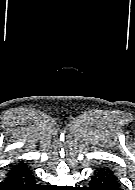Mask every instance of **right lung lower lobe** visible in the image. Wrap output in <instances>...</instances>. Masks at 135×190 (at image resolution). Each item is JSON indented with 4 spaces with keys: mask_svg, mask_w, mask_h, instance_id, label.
<instances>
[{
    "mask_svg": "<svg viewBox=\"0 0 135 190\" xmlns=\"http://www.w3.org/2000/svg\"><path fill=\"white\" fill-rule=\"evenodd\" d=\"M0 190H42V188L35 183L32 171L20 162L11 166L5 182L0 183Z\"/></svg>",
    "mask_w": 135,
    "mask_h": 190,
    "instance_id": "obj_1",
    "label": "right lung lower lobe"
}]
</instances>
